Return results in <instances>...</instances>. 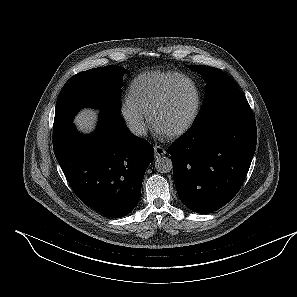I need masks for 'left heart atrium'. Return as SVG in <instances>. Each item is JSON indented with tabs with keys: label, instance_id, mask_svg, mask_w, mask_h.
I'll list each match as a JSON object with an SVG mask.
<instances>
[{
	"label": "left heart atrium",
	"instance_id": "1",
	"mask_svg": "<svg viewBox=\"0 0 297 297\" xmlns=\"http://www.w3.org/2000/svg\"><path fill=\"white\" fill-rule=\"evenodd\" d=\"M157 132H158V133H160V134H162V133H161V132H159L158 130H157Z\"/></svg>",
	"mask_w": 297,
	"mask_h": 297
}]
</instances>
